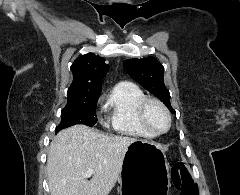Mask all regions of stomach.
Instances as JSON below:
<instances>
[{
  "mask_svg": "<svg viewBox=\"0 0 240 195\" xmlns=\"http://www.w3.org/2000/svg\"><path fill=\"white\" fill-rule=\"evenodd\" d=\"M119 183L120 195H168L169 163L162 145L150 139L130 143Z\"/></svg>",
  "mask_w": 240,
  "mask_h": 195,
  "instance_id": "obj_1",
  "label": "stomach"
}]
</instances>
